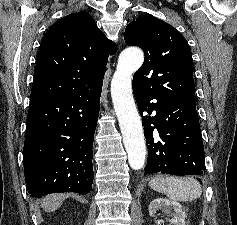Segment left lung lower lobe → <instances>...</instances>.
<instances>
[{"label":"left lung lower lobe","instance_id":"obj_1","mask_svg":"<svg viewBox=\"0 0 237 225\" xmlns=\"http://www.w3.org/2000/svg\"><path fill=\"white\" fill-rule=\"evenodd\" d=\"M147 141L146 174L204 175V147L196 101L167 100L133 86ZM156 99L155 103L149 100ZM154 125V126H153Z\"/></svg>","mask_w":237,"mask_h":225}]
</instances>
